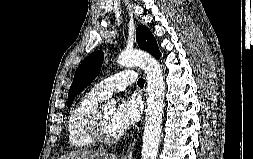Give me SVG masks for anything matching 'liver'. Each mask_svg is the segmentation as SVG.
<instances>
[{
    "label": "liver",
    "mask_w": 253,
    "mask_h": 159,
    "mask_svg": "<svg viewBox=\"0 0 253 159\" xmlns=\"http://www.w3.org/2000/svg\"><path fill=\"white\" fill-rule=\"evenodd\" d=\"M59 159H115V156L102 150L81 149L63 155Z\"/></svg>",
    "instance_id": "obj_1"
}]
</instances>
